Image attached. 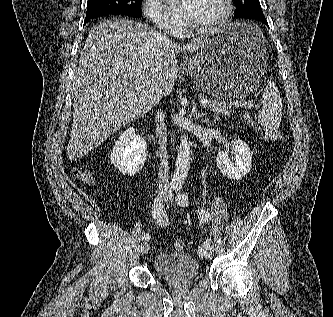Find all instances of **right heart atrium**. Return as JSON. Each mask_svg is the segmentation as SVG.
<instances>
[{
    "instance_id": "d8ad5b80",
    "label": "right heart atrium",
    "mask_w": 333,
    "mask_h": 317,
    "mask_svg": "<svg viewBox=\"0 0 333 317\" xmlns=\"http://www.w3.org/2000/svg\"><path fill=\"white\" fill-rule=\"evenodd\" d=\"M143 11L146 17L159 29L169 33L179 32V26L164 13L158 0H145Z\"/></svg>"
}]
</instances>
